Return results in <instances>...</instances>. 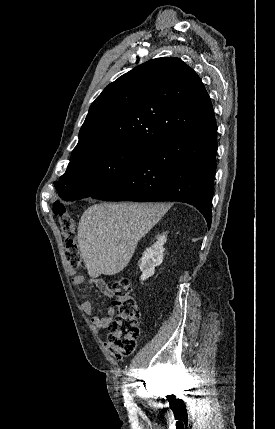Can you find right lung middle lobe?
Returning <instances> with one entry per match:
<instances>
[{"mask_svg": "<svg viewBox=\"0 0 275 429\" xmlns=\"http://www.w3.org/2000/svg\"><path fill=\"white\" fill-rule=\"evenodd\" d=\"M150 150L130 144H117L71 161L55 182L59 196L66 201L92 197L137 168Z\"/></svg>", "mask_w": 275, "mask_h": 429, "instance_id": "right-lung-middle-lobe-1", "label": "right lung middle lobe"}]
</instances>
